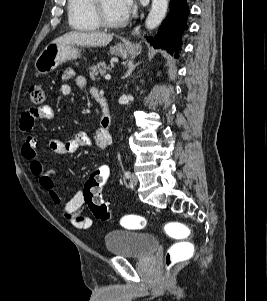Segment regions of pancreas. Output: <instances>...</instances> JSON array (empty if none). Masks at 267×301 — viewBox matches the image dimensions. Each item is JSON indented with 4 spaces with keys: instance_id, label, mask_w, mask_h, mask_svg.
Listing matches in <instances>:
<instances>
[{
    "instance_id": "1",
    "label": "pancreas",
    "mask_w": 267,
    "mask_h": 301,
    "mask_svg": "<svg viewBox=\"0 0 267 301\" xmlns=\"http://www.w3.org/2000/svg\"><path fill=\"white\" fill-rule=\"evenodd\" d=\"M107 70H110V66H107L104 62H99L89 67V76L92 80H95L98 74L103 75Z\"/></svg>"
}]
</instances>
